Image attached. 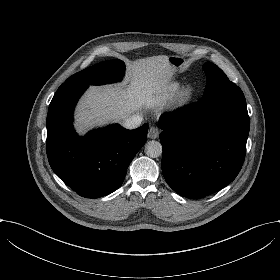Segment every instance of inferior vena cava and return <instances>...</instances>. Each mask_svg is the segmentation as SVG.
Segmentation results:
<instances>
[{"label":"inferior vena cava","mask_w":280,"mask_h":280,"mask_svg":"<svg viewBox=\"0 0 280 280\" xmlns=\"http://www.w3.org/2000/svg\"><path fill=\"white\" fill-rule=\"evenodd\" d=\"M142 122V116L134 114L130 116L128 119H126L123 123L122 126L126 129L132 130L136 129L140 126Z\"/></svg>","instance_id":"inferior-vena-cava-1"}]
</instances>
